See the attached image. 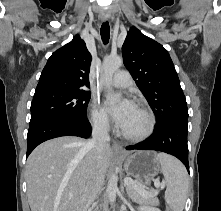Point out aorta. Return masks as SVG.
Instances as JSON below:
<instances>
[{
	"mask_svg": "<svg viewBox=\"0 0 221 211\" xmlns=\"http://www.w3.org/2000/svg\"><path fill=\"white\" fill-rule=\"evenodd\" d=\"M123 60L121 57H108L103 61L101 80L103 85L108 91V101L114 103L120 100L119 95L111 94V82L113 74L122 66ZM118 177L116 174H112L108 181L107 194L109 202L113 205L116 200V193Z\"/></svg>",
	"mask_w": 221,
	"mask_h": 211,
	"instance_id": "762f6f07",
	"label": "aorta"
}]
</instances>
